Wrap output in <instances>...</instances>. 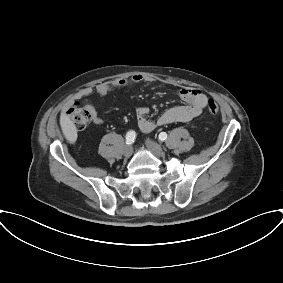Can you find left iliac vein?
<instances>
[{
  "label": "left iliac vein",
  "mask_w": 283,
  "mask_h": 283,
  "mask_svg": "<svg viewBox=\"0 0 283 283\" xmlns=\"http://www.w3.org/2000/svg\"><path fill=\"white\" fill-rule=\"evenodd\" d=\"M145 144L155 156L164 157L165 153L158 143L154 142L151 139H146Z\"/></svg>",
  "instance_id": "1"
}]
</instances>
